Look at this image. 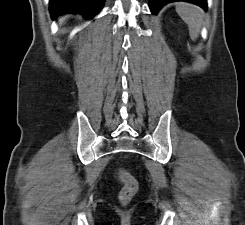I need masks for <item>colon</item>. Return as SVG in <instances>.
<instances>
[{
	"label": "colon",
	"mask_w": 245,
	"mask_h": 225,
	"mask_svg": "<svg viewBox=\"0 0 245 225\" xmlns=\"http://www.w3.org/2000/svg\"><path fill=\"white\" fill-rule=\"evenodd\" d=\"M118 181L122 184V189L119 193V201L123 205H127L132 201L139 191L137 180L124 170L117 172Z\"/></svg>",
	"instance_id": "1"
}]
</instances>
